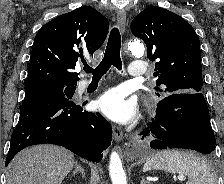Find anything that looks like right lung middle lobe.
Segmentation results:
<instances>
[{"mask_svg":"<svg viewBox=\"0 0 224 184\" xmlns=\"http://www.w3.org/2000/svg\"><path fill=\"white\" fill-rule=\"evenodd\" d=\"M75 85H62V84H33L25 86V99L27 103L33 99L46 96V95H65L72 94L75 90Z\"/></svg>","mask_w":224,"mask_h":184,"instance_id":"right-lung-middle-lobe-1","label":"right lung middle lobe"}]
</instances>
